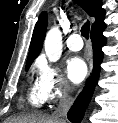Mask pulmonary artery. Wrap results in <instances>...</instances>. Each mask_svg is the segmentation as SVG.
<instances>
[{"label": "pulmonary artery", "instance_id": "e3ab8cb5", "mask_svg": "<svg viewBox=\"0 0 118 123\" xmlns=\"http://www.w3.org/2000/svg\"><path fill=\"white\" fill-rule=\"evenodd\" d=\"M66 45L71 51H80L83 47L81 36L77 33L71 34L67 38Z\"/></svg>", "mask_w": 118, "mask_h": 123}]
</instances>
